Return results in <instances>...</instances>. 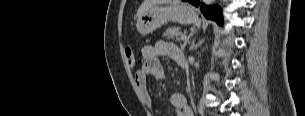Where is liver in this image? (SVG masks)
I'll return each mask as SVG.
<instances>
[{"mask_svg": "<svg viewBox=\"0 0 305 116\" xmlns=\"http://www.w3.org/2000/svg\"><path fill=\"white\" fill-rule=\"evenodd\" d=\"M180 3V0H144L142 4L140 5L138 11H137V17L138 19L143 15V13L149 9L151 6L154 5H160V4H178Z\"/></svg>", "mask_w": 305, "mask_h": 116, "instance_id": "6515ba94", "label": "liver"}]
</instances>
